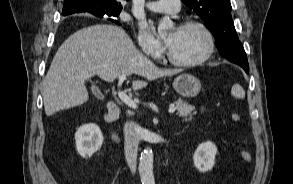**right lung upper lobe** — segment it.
Here are the masks:
<instances>
[{
	"instance_id": "1",
	"label": "right lung upper lobe",
	"mask_w": 293,
	"mask_h": 184,
	"mask_svg": "<svg viewBox=\"0 0 293 184\" xmlns=\"http://www.w3.org/2000/svg\"><path fill=\"white\" fill-rule=\"evenodd\" d=\"M103 10L121 11L120 0H64L62 15L89 12L95 16L103 17L99 14Z\"/></svg>"
}]
</instances>
